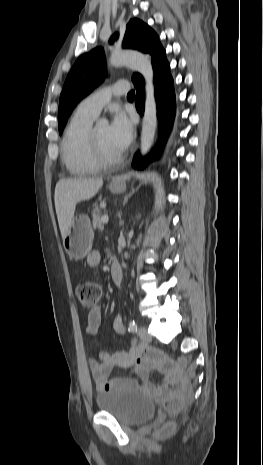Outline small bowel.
Instances as JSON below:
<instances>
[{"mask_svg": "<svg viewBox=\"0 0 263 465\" xmlns=\"http://www.w3.org/2000/svg\"><path fill=\"white\" fill-rule=\"evenodd\" d=\"M100 260L101 254L97 250L90 252L87 256V263L91 267L97 266L100 263ZM101 323L102 311L100 307L96 306L88 312L85 335L90 338L94 337L97 334ZM113 330L118 335L124 334L121 314L116 315L114 318ZM88 365L96 388L102 391L125 387L129 389L142 390L149 394L159 396L164 387L176 379L173 372L167 371L165 383L161 386L154 385L149 380L150 364L142 356L141 348L137 345H133L128 351H120L113 354L102 350L98 353L97 357H90L88 359ZM115 367L133 368L138 379H124L117 377L110 378L111 372Z\"/></svg>", "mask_w": 263, "mask_h": 465, "instance_id": "c3829d8e", "label": "small bowel"}]
</instances>
